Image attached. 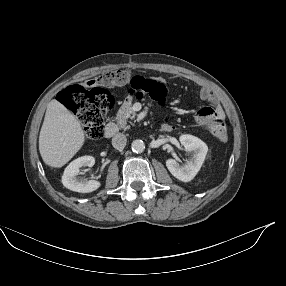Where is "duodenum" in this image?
<instances>
[{"mask_svg":"<svg viewBox=\"0 0 286 286\" xmlns=\"http://www.w3.org/2000/svg\"><path fill=\"white\" fill-rule=\"evenodd\" d=\"M118 132V125L114 122H110L106 125L104 129V136L106 138L113 137Z\"/></svg>","mask_w":286,"mask_h":286,"instance_id":"410a0bca","label":"duodenum"}]
</instances>
